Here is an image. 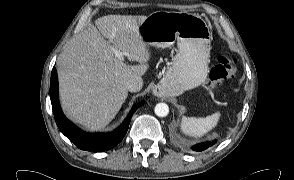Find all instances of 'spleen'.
<instances>
[{
  "mask_svg": "<svg viewBox=\"0 0 294 180\" xmlns=\"http://www.w3.org/2000/svg\"><path fill=\"white\" fill-rule=\"evenodd\" d=\"M220 113L216 112L206 117H183L181 131L188 136L200 138L212 130L218 123Z\"/></svg>",
  "mask_w": 294,
  "mask_h": 180,
  "instance_id": "1",
  "label": "spleen"
}]
</instances>
